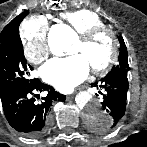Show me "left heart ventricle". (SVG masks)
I'll list each match as a JSON object with an SVG mask.
<instances>
[{"label": "left heart ventricle", "mask_w": 147, "mask_h": 147, "mask_svg": "<svg viewBox=\"0 0 147 147\" xmlns=\"http://www.w3.org/2000/svg\"><path fill=\"white\" fill-rule=\"evenodd\" d=\"M110 53V42L108 37H100L92 46L84 47L80 41L77 42L74 54L85 57L90 66L102 65Z\"/></svg>", "instance_id": "1"}]
</instances>
